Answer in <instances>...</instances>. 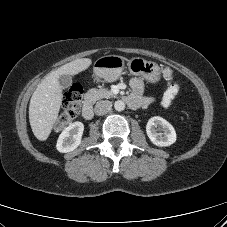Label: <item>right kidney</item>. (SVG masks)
Segmentation results:
<instances>
[{
  "instance_id": "1",
  "label": "right kidney",
  "mask_w": 227,
  "mask_h": 227,
  "mask_svg": "<svg viewBox=\"0 0 227 227\" xmlns=\"http://www.w3.org/2000/svg\"><path fill=\"white\" fill-rule=\"evenodd\" d=\"M84 124L82 122H74L66 127L59 135L56 148L59 152L67 153L76 149L82 139Z\"/></svg>"
}]
</instances>
